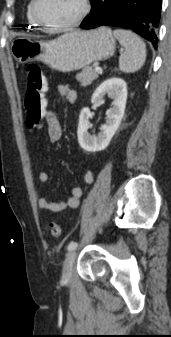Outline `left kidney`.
I'll return each mask as SVG.
<instances>
[{
  "label": "left kidney",
  "instance_id": "5707ae66",
  "mask_svg": "<svg viewBox=\"0 0 171 337\" xmlns=\"http://www.w3.org/2000/svg\"><path fill=\"white\" fill-rule=\"evenodd\" d=\"M105 95H108L114 101L112 107L106 112V124L101 126V132L98 136H93L88 132L90 126L89 118L92 116L90 109L84 108L79 116L78 142L81 148L87 152L104 150L118 130L125 112L127 100L126 82L117 77L107 79L95 90L91 102L100 103Z\"/></svg>",
  "mask_w": 171,
  "mask_h": 337
}]
</instances>
